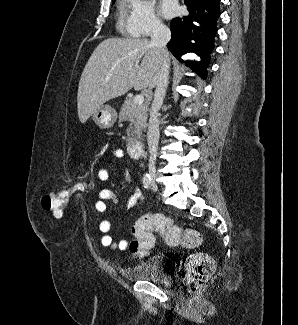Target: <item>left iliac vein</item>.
Returning a JSON list of instances; mask_svg holds the SVG:
<instances>
[{
    "label": "left iliac vein",
    "instance_id": "1",
    "mask_svg": "<svg viewBox=\"0 0 298 325\" xmlns=\"http://www.w3.org/2000/svg\"><path fill=\"white\" fill-rule=\"evenodd\" d=\"M152 188H153L154 191L157 190V186L155 184L154 178L152 179Z\"/></svg>",
    "mask_w": 298,
    "mask_h": 325
}]
</instances>
